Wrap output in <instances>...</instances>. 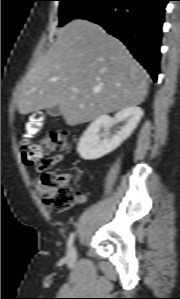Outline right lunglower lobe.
I'll list each match as a JSON object with an SVG mask.
<instances>
[{"label":"right lung lower lobe","instance_id":"obj_1","mask_svg":"<svg viewBox=\"0 0 180 299\" xmlns=\"http://www.w3.org/2000/svg\"><path fill=\"white\" fill-rule=\"evenodd\" d=\"M167 1L102 0L78 18L99 24L120 39L156 82Z\"/></svg>","mask_w":180,"mask_h":299}]
</instances>
